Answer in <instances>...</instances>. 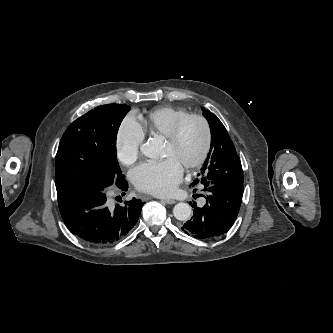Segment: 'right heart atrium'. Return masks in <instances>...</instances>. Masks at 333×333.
Instances as JSON below:
<instances>
[{
  "mask_svg": "<svg viewBox=\"0 0 333 333\" xmlns=\"http://www.w3.org/2000/svg\"><path fill=\"white\" fill-rule=\"evenodd\" d=\"M145 139L141 125L127 115L121 122L115 137V152L118 160L125 166L132 165L140 155V147Z\"/></svg>",
  "mask_w": 333,
  "mask_h": 333,
  "instance_id": "1",
  "label": "right heart atrium"
}]
</instances>
